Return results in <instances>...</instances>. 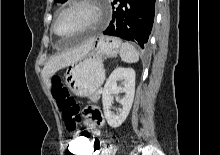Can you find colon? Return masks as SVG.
<instances>
[{"mask_svg": "<svg viewBox=\"0 0 220 155\" xmlns=\"http://www.w3.org/2000/svg\"><path fill=\"white\" fill-rule=\"evenodd\" d=\"M52 95L62 111V116L65 121L66 128L69 131L75 130H89V125H83L80 122L79 106L75 100L70 96L67 87L59 76L52 78ZM102 142L95 141L94 149L100 150ZM91 142L88 131H79L78 135H73V139H69L68 146H65V151L68 155H91ZM105 149H112V144H105Z\"/></svg>", "mask_w": 220, "mask_h": 155, "instance_id": "5ec220e1", "label": "colon"}]
</instances>
